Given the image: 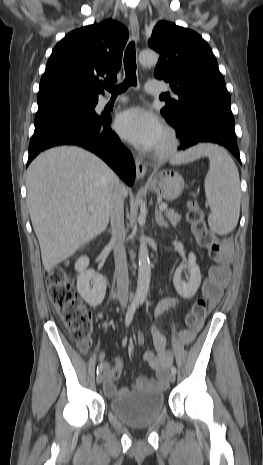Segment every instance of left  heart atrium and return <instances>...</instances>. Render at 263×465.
Masks as SVG:
<instances>
[{"label":"left heart atrium","mask_w":263,"mask_h":465,"mask_svg":"<svg viewBox=\"0 0 263 465\" xmlns=\"http://www.w3.org/2000/svg\"><path fill=\"white\" fill-rule=\"evenodd\" d=\"M114 126L122 138L145 150L157 148L164 134L160 120L141 107L121 112Z\"/></svg>","instance_id":"left-heart-atrium-1"}]
</instances>
